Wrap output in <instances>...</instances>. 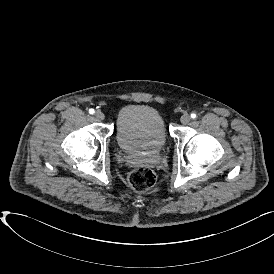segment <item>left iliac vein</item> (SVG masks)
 I'll return each instance as SVG.
<instances>
[{
	"instance_id": "1",
	"label": "left iliac vein",
	"mask_w": 274,
	"mask_h": 274,
	"mask_svg": "<svg viewBox=\"0 0 274 274\" xmlns=\"http://www.w3.org/2000/svg\"><path fill=\"white\" fill-rule=\"evenodd\" d=\"M190 120H191V117L188 114H183L180 119L181 123L184 125L188 124Z\"/></svg>"
}]
</instances>
